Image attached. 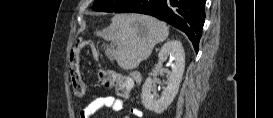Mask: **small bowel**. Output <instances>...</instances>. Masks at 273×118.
Returning <instances> with one entry per match:
<instances>
[{
	"instance_id": "c3829d8e",
	"label": "small bowel",
	"mask_w": 273,
	"mask_h": 118,
	"mask_svg": "<svg viewBox=\"0 0 273 118\" xmlns=\"http://www.w3.org/2000/svg\"><path fill=\"white\" fill-rule=\"evenodd\" d=\"M102 108L110 109L114 112L121 111L123 109V101L115 96L111 95H93L87 104L80 108V118H91L98 110ZM131 114L134 117H142V111L137 108H131Z\"/></svg>"
}]
</instances>
